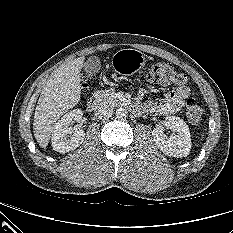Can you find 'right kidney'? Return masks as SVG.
Segmentation results:
<instances>
[{
	"instance_id": "obj_1",
	"label": "right kidney",
	"mask_w": 233,
	"mask_h": 233,
	"mask_svg": "<svg viewBox=\"0 0 233 233\" xmlns=\"http://www.w3.org/2000/svg\"><path fill=\"white\" fill-rule=\"evenodd\" d=\"M83 112L74 109L66 113L54 126L52 131V147L59 153H67L76 149L84 140L85 133L82 129L72 128L74 121L82 119Z\"/></svg>"
}]
</instances>
